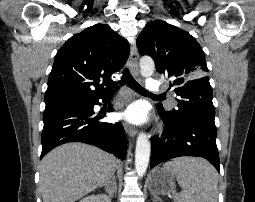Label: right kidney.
<instances>
[{
  "instance_id": "obj_1",
  "label": "right kidney",
  "mask_w": 255,
  "mask_h": 202,
  "mask_svg": "<svg viewBox=\"0 0 255 202\" xmlns=\"http://www.w3.org/2000/svg\"><path fill=\"white\" fill-rule=\"evenodd\" d=\"M80 202H111L106 195H90L82 199Z\"/></svg>"
}]
</instances>
